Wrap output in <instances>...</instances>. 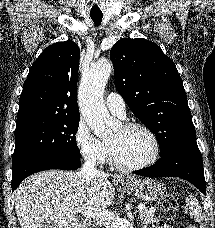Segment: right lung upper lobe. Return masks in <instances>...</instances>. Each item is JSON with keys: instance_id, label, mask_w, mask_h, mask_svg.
Masks as SVG:
<instances>
[{"instance_id": "right-lung-upper-lobe-1", "label": "right lung upper lobe", "mask_w": 215, "mask_h": 228, "mask_svg": "<svg viewBox=\"0 0 215 228\" xmlns=\"http://www.w3.org/2000/svg\"><path fill=\"white\" fill-rule=\"evenodd\" d=\"M80 50L71 40L47 47L30 68L19 101L17 124L79 117L76 100Z\"/></svg>"}]
</instances>
